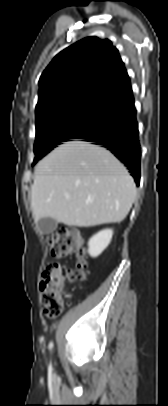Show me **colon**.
I'll return each instance as SVG.
<instances>
[{
  "label": "colon",
  "instance_id": "obj_1",
  "mask_svg": "<svg viewBox=\"0 0 168 406\" xmlns=\"http://www.w3.org/2000/svg\"><path fill=\"white\" fill-rule=\"evenodd\" d=\"M48 243L54 258H64L73 253L81 256L74 269L50 261L41 274L39 291L43 313L49 318H56L62 311L65 284L85 279L88 266L82 257L83 241L77 230L60 228L49 237Z\"/></svg>",
  "mask_w": 168,
  "mask_h": 406
}]
</instances>
